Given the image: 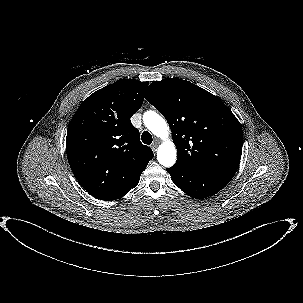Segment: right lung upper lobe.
<instances>
[{
  "mask_svg": "<svg viewBox=\"0 0 303 303\" xmlns=\"http://www.w3.org/2000/svg\"><path fill=\"white\" fill-rule=\"evenodd\" d=\"M147 87L148 82L120 79L91 94L70 121L66 137L70 167L97 199L123 197L139 183L154 156L130 121Z\"/></svg>",
  "mask_w": 303,
  "mask_h": 303,
  "instance_id": "1",
  "label": "right lung upper lobe"
}]
</instances>
